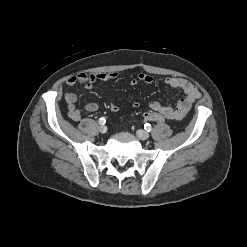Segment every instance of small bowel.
<instances>
[{
    "label": "small bowel",
    "mask_w": 247,
    "mask_h": 247,
    "mask_svg": "<svg viewBox=\"0 0 247 247\" xmlns=\"http://www.w3.org/2000/svg\"><path fill=\"white\" fill-rule=\"evenodd\" d=\"M118 77V73H79L71 76L66 80V86L73 88L77 85H83L87 89H92L97 81H108ZM139 83L152 84L154 78L148 74L140 73L137 77L131 79L130 85L137 86ZM165 83L173 89L181 90L185 96L178 101L175 107L164 105L154 101L150 103V108L153 111L162 113L167 119L181 120L189 112L192 104L200 97L199 90L189 80L178 77H167ZM64 100L67 104L68 117L74 121L81 118V111L76 107L77 95L74 92L66 91ZM138 102H133L132 107H138ZM110 110L117 112L120 107L114 103H110ZM99 108L97 102H89L84 105V110L87 112H95Z\"/></svg>",
    "instance_id": "1"
}]
</instances>
